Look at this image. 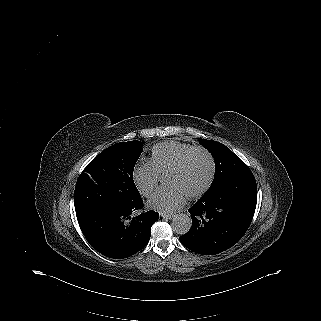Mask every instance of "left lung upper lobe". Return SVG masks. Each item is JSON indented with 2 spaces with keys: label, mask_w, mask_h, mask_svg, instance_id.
Instances as JSON below:
<instances>
[{
  "label": "left lung upper lobe",
  "mask_w": 321,
  "mask_h": 321,
  "mask_svg": "<svg viewBox=\"0 0 321 321\" xmlns=\"http://www.w3.org/2000/svg\"><path fill=\"white\" fill-rule=\"evenodd\" d=\"M200 144L210 151L215 161V176L209 190L216 189L234 175L251 172L249 167L224 144L206 139H201Z\"/></svg>",
  "instance_id": "left-lung-upper-lobe-1"
}]
</instances>
